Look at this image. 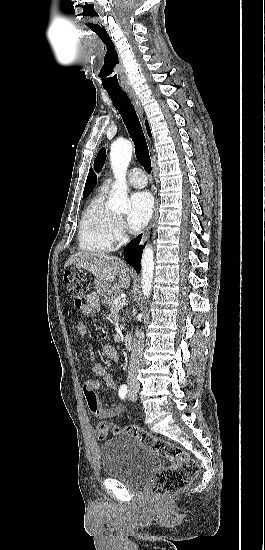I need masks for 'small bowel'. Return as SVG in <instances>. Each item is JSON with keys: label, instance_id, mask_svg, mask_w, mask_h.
Listing matches in <instances>:
<instances>
[{"label": "small bowel", "instance_id": "small-bowel-1", "mask_svg": "<svg viewBox=\"0 0 265 550\" xmlns=\"http://www.w3.org/2000/svg\"><path fill=\"white\" fill-rule=\"evenodd\" d=\"M99 308V298L95 293H90L83 304L81 312L84 314L94 313ZM76 332L85 336L87 333L86 327L82 323H77L75 326ZM86 350L89 355V361H93V349L89 343H86ZM101 352L104 357L110 361H117L118 353L116 349L110 344H104L101 347ZM92 373L94 376L100 379H88L83 384V393L85 395L89 410L100 419L111 418L117 415L120 408L110 407L106 408L102 405L101 401L97 398L95 391L104 388L115 389L116 383L113 374L106 371L103 365L95 363L92 366Z\"/></svg>", "mask_w": 265, "mask_h": 550}]
</instances>
